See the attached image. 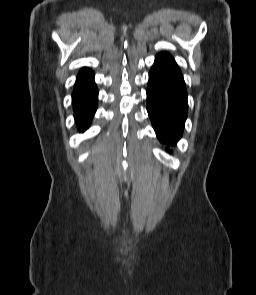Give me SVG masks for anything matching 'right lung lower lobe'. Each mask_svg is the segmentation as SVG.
Listing matches in <instances>:
<instances>
[{
    "label": "right lung lower lobe",
    "instance_id": "98d812e1",
    "mask_svg": "<svg viewBox=\"0 0 256 295\" xmlns=\"http://www.w3.org/2000/svg\"><path fill=\"white\" fill-rule=\"evenodd\" d=\"M98 90L94 83V73L84 68L77 76L72 93L75 121L80 131H85L97 109Z\"/></svg>",
    "mask_w": 256,
    "mask_h": 295
}]
</instances>
